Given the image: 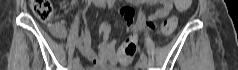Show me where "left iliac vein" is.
I'll return each instance as SVG.
<instances>
[{"label": "left iliac vein", "mask_w": 238, "mask_h": 70, "mask_svg": "<svg viewBox=\"0 0 238 70\" xmlns=\"http://www.w3.org/2000/svg\"><path fill=\"white\" fill-rule=\"evenodd\" d=\"M139 67L144 70L146 68V62L141 60L139 62Z\"/></svg>", "instance_id": "1"}]
</instances>
